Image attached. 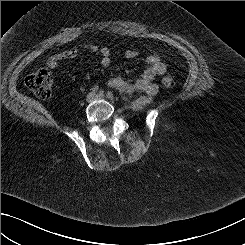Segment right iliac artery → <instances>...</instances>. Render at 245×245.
I'll list each match as a JSON object with an SVG mask.
<instances>
[{"mask_svg": "<svg viewBox=\"0 0 245 245\" xmlns=\"http://www.w3.org/2000/svg\"><path fill=\"white\" fill-rule=\"evenodd\" d=\"M104 94V91L103 90H100L99 92H98V95H103Z\"/></svg>", "mask_w": 245, "mask_h": 245, "instance_id": "82829eb1", "label": "right iliac artery"}]
</instances>
